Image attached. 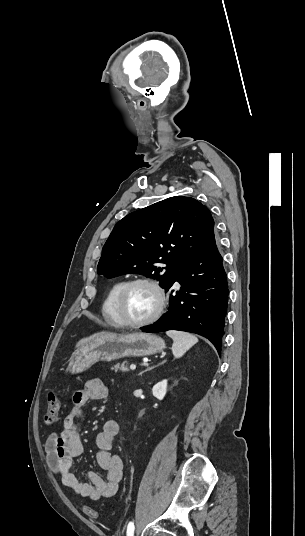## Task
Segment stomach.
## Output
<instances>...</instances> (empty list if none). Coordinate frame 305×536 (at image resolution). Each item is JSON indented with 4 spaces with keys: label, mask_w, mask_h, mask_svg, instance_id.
Segmentation results:
<instances>
[{
    "label": "stomach",
    "mask_w": 305,
    "mask_h": 536,
    "mask_svg": "<svg viewBox=\"0 0 305 536\" xmlns=\"http://www.w3.org/2000/svg\"><path fill=\"white\" fill-rule=\"evenodd\" d=\"M164 348V340L152 334H101L73 352L67 372L80 374L89 370L96 362H111L131 356H153Z\"/></svg>",
    "instance_id": "0dacf381"
}]
</instances>
